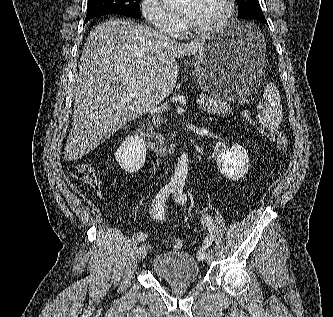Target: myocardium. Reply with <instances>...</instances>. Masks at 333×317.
I'll use <instances>...</instances> for the list:
<instances>
[{
    "label": "myocardium",
    "instance_id": "1",
    "mask_svg": "<svg viewBox=\"0 0 333 317\" xmlns=\"http://www.w3.org/2000/svg\"><path fill=\"white\" fill-rule=\"evenodd\" d=\"M225 4V10L222 16L213 24L204 27V28H197L189 23H186V29L189 33L194 35H210L213 34L219 30H221L223 27L227 25V23L230 21L234 14L235 9V2L234 0H224Z\"/></svg>",
    "mask_w": 333,
    "mask_h": 317
}]
</instances>
